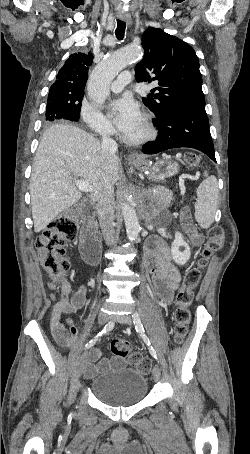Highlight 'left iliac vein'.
Listing matches in <instances>:
<instances>
[{"mask_svg": "<svg viewBox=\"0 0 250 454\" xmlns=\"http://www.w3.org/2000/svg\"><path fill=\"white\" fill-rule=\"evenodd\" d=\"M111 319L114 321H117L121 324L131 325V323H132L131 317L126 314L114 315L111 317ZM152 374H153V379L155 381H159L160 376H161V370H160L159 365L156 364L154 366Z\"/></svg>", "mask_w": 250, "mask_h": 454, "instance_id": "left-iliac-vein-1", "label": "left iliac vein"}]
</instances>
